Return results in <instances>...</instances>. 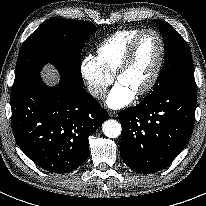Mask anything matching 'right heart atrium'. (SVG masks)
<instances>
[{
  "instance_id": "right-heart-atrium-1",
  "label": "right heart atrium",
  "mask_w": 206,
  "mask_h": 206,
  "mask_svg": "<svg viewBox=\"0 0 206 206\" xmlns=\"http://www.w3.org/2000/svg\"><path fill=\"white\" fill-rule=\"evenodd\" d=\"M81 75L86 83L89 94L99 100L102 99L113 82V75L108 74L96 57L88 55L81 62Z\"/></svg>"
}]
</instances>
